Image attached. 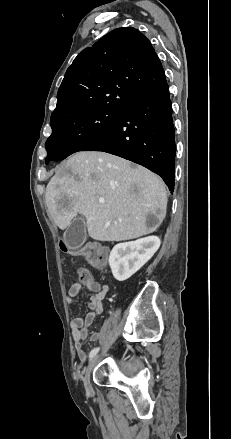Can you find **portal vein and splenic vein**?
<instances>
[{"mask_svg":"<svg viewBox=\"0 0 231 439\" xmlns=\"http://www.w3.org/2000/svg\"><path fill=\"white\" fill-rule=\"evenodd\" d=\"M99 202H100L101 204H103V203H104V200H103V199H100Z\"/></svg>","mask_w":231,"mask_h":439,"instance_id":"1","label":"portal vein and splenic vein"}]
</instances>
